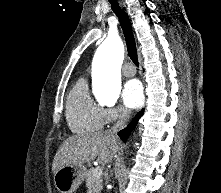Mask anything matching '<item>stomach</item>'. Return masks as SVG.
Listing matches in <instances>:
<instances>
[{
    "mask_svg": "<svg viewBox=\"0 0 221 193\" xmlns=\"http://www.w3.org/2000/svg\"><path fill=\"white\" fill-rule=\"evenodd\" d=\"M84 165H66L54 173L55 187L60 193H73L86 176Z\"/></svg>",
    "mask_w": 221,
    "mask_h": 193,
    "instance_id": "0dacf381",
    "label": "stomach"
}]
</instances>
